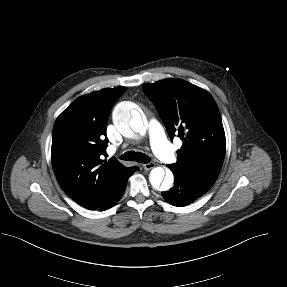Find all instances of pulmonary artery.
<instances>
[{
    "label": "pulmonary artery",
    "mask_w": 287,
    "mask_h": 287,
    "mask_svg": "<svg viewBox=\"0 0 287 287\" xmlns=\"http://www.w3.org/2000/svg\"><path fill=\"white\" fill-rule=\"evenodd\" d=\"M149 136L155 154L164 162L173 163L175 161L174 151L167 141L162 127L155 120L149 123Z\"/></svg>",
    "instance_id": "obj_1"
}]
</instances>
